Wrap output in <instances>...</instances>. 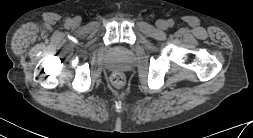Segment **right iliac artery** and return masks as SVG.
I'll return each instance as SVG.
<instances>
[{"label":"right iliac artery","instance_id":"obj_1","mask_svg":"<svg viewBox=\"0 0 253 138\" xmlns=\"http://www.w3.org/2000/svg\"><path fill=\"white\" fill-rule=\"evenodd\" d=\"M70 23H71V19H68V20L65 21L66 25H69Z\"/></svg>","mask_w":253,"mask_h":138}]
</instances>
